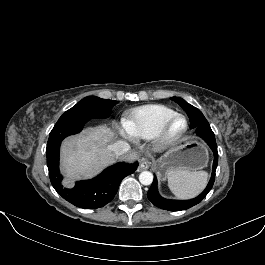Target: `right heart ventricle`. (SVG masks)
Here are the masks:
<instances>
[{"label": "right heart ventricle", "instance_id": "1", "mask_svg": "<svg viewBox=\"0 0 265 265\" xmlns=\"http://www.w3.org/2000/svg\"><path fill=\"white\" fill-rule=\"evenodd\" d=\"M176 113L164 105H144L124 113L123 125L133 138H154L163 122Z\"/></svg>", "mask_w": 265, "mask_h": 265}]
</instances>
